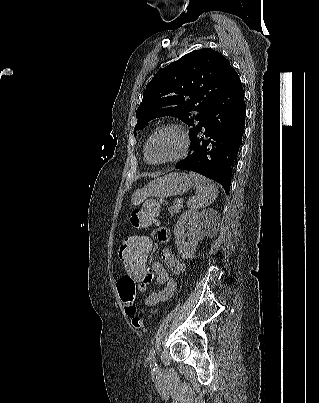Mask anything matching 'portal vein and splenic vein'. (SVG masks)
<instances>
[{"label": "portal vein and splenic vein", "instance_id": "obj_1", "mask_svg": "<svg viewBox=\"0 0 319 403\" xmlns=\"http://www.w3.org/2000/svg\"><path fill=\"white\" fill-rule=\"evenodd\" d=\"M182 199L180 198V199H177V200H175V202H177L178 204H182Z\"/></svg>", "mask_w": 319, "mask_h": 403}]
</instances>
